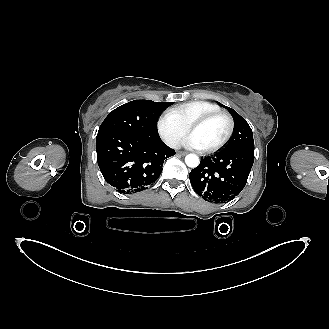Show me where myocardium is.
Masks as SVG:
<instances>
[{"mask_svg":"<svg viewBox=\"0 0 329 329\" xmlns=\"http://www.w3.org/2000/svg\"><path fill=\"white\" fill-rule=\"evenodd\" d=\"M218 117H223L227 120V123H228L227 133L224 136V138L219 143H217L216 145H214L210 148H207V149H202L201 151L203 153H207V154L214 153V152L218 151L219 149H221L223 146H225L228 143V141L230 140V138L233 134V131H234V120H233L232 116L229 113L220 110V111H216V112L206 114V115L194 120L188 126V132L191 133V131L194 128L199 127V126L207 123L208 121H210L212 119H215V118H218Z\"/></svg>","mask_w":329,"mask_h":329,"instance_id":"f54148a6","label":"myocardium"}]
</instances>
